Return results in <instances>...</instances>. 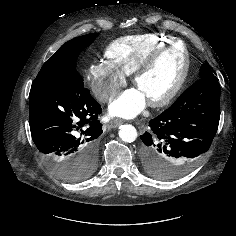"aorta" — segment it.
<instances>
[{
    "label": "aorta",
    "mask_w": 236,
    "mask_h": 236,
    "mask_svg": "<svg viewBox=\"0 0 236 236\" xmlns=\"http://www.w3.org/2000/svg\"><path fill=\"white\" fill-rule=\"evenodd\" d=\"M119 137L126 143H132L137 138V130L130 124L122 125L119 130Z\"/></svg>",
    "instance_id": "1"
}]
</instances>
